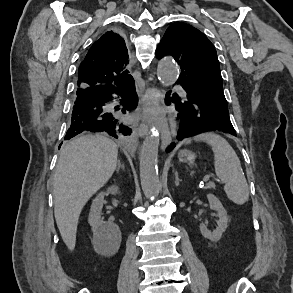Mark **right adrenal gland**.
<instances>
[{
	"mask_svg": "<svg viewBox=\"0 0 293 293\" xmlns=\"http://www.w3.org/2000/svg\"><path fill=\"white\" fill-rule=\"evenodd\" d=\"M123 169L124 170V164H121L120 160H118L116 172L119 173V170Z\"/></svg>",
	"mask_w": 293,
	"mask_h": 293,
	"instance_id": "right-adrenal-gland-1",
	"label": "right adrenal gland"
}]
</instances>
